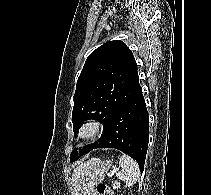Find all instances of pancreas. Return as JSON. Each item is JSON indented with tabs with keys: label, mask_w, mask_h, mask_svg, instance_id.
Instances as JSON below:
<instances>
[{
	"label": "pancreas",
	"mask_w": 211,
	"mask_h": 195,
	"mask_svg": "<svg viewBox=\"0 0 211 195\" xmlns=\"http://www.w3.org/2000/svg\"><path fill=\"white\" fill-rule=\"evenodd\" d=\"M113 189H118L120 187V183L116 182V183H113Z\"/></svg>",
	"instance_id": "cf45deb5"
}]
</instances>
